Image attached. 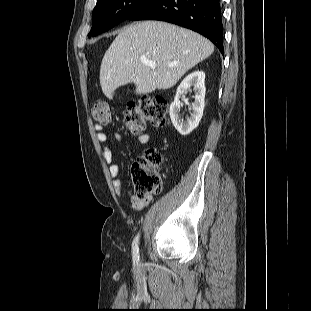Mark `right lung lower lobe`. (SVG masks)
<instances>
[{
  "label": "right lung lower lobe",
  "instance_id": "right-lung-lower-lobe-1",
  "mask_svg": "<svg viewBox=\"0 0 311 311\" xmlns=\"http://www.w3.org/2000/svg\"><path fill=\"white\" fill-rule=\"evenodd\" d=\"M129 20H161L209 38L224 54L220 0H155Z\"/></svg>",
  "mask_w": 311,
  "mask_h": 311
}]
</instances>
